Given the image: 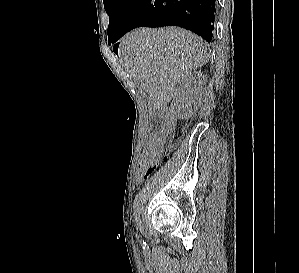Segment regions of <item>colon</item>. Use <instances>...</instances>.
<instances>
[{"label": "colon", "mask_w": 299, "mask_h": 273, "mask_svg": "<svg viewBox=\"0 0 299 273\" xmlns=\"http://www.w3.org/2000/svg\"><path fill=\"white\" fill-rule=\"evenodd\" d=\"M173 130L174 122L168 121L150 136L138 165L140 177L147 178L161 161L167 160L171 148L168 140Z\"/></svg>", "instance_id": "colon-1"}]
</instances>
